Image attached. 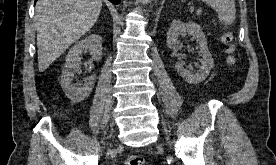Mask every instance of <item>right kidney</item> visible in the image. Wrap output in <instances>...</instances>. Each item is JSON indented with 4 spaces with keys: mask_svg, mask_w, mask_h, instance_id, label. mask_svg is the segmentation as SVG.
Returning <instances> with one entry per match:
<instances>
[{
    "mask_svg": "<svg viewBox=\"0 0 276 165\" xmlns=\"http://www.w3.org/2000/svg\"><path fill=\"white\" fill-rule=\"evenodd\" d=\"M89 51L92 59L102 58V41L99 35L93 34L78 41L68 52L61 74V87L66 96L74 103L82 102L94 87L95 77L86 78L82 83H72L75 74L80 70L81 54Z\"/></svg>",
    "mask_w": 276,
    "mask_h": 165,
    "instance_id": "ca27d5eb",
    "label": "right kidney"
}]
</instances>
